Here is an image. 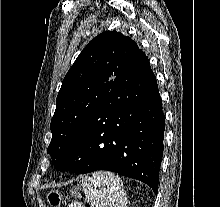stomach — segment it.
I'll use <instances>...</instances> for the list:
<instances>
[{
    "label": "stomach",
    "mask_w": 220,
    "mask_h": 207,
    "mask_svg": "<svg viewBox=\"0 0 220 207\" xmlns=\"http://www.w3.org/2000/svg\"><path fill=\"white\" fill-rule=\"evenodd\" d=\"M72 194L80 195L77 190H73ZM46 200L51 205V207H60L61 203H63V195L58 190H51L47 192Z\"/></svg>",
    "instance_id": "0dacf381"
}]
</instances>
